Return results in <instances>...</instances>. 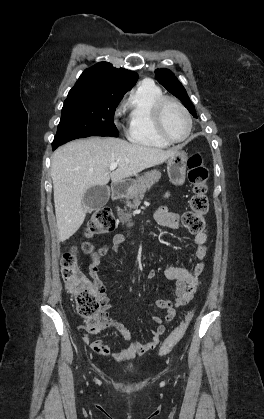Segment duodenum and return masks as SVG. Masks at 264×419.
<instances>
[{
    "label": "duodenum",
    "mask_w": 264,
    "mask_h": 419,
    "mask_svg": "<svg viewBox=\"0 0 264 419\" xmlns=\"http://www.w3.org/2000/svg\"><path fill=\"white\" fill-rule=\"evenodd\" d=\"M123 194V185L121 184H113L112 188H111V196L112 198L118 199L122 196Z\"/></svg>",
    "instance_id": "1"
}]
</instances>
